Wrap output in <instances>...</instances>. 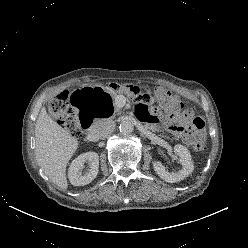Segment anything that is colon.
Masks as SVG:
<instances>
[{"label": "colon", "instance_id": "obj_1", "mask_svg": "<svg viewBox=\"0 0 248 248\" xmlns=\"http://www.w3.org/2000/svg\"><path fill=\"white\" fill-rule=\"evenodd\" d=\"M112 88L118 92H126L133 96L140 104L149 105L154 101H157L162 108L170 113H189L190 111L183 110V103L171 93L156 89L154 91H141L138 87L133 85H121L114 84ZM69 93L62 92L58 94L49 103V114L57 120V122L66 129L73 137L78 138L82 133V115L76 113L71 107L69 102ZM190 126L197 130L202 131L205 127V123L201 117H192L190 120ZM194 149L202 151L205 149V143L203 140H197L194 144Z\"/></svg>", "mask_w": 248, "mask_h": 248}]
</instances>
